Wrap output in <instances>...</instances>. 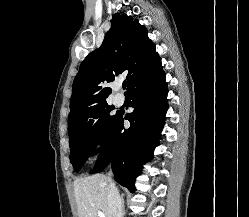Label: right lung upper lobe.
<instances>
[{"instance_id":"obj_1","label":"right lung upper lobe","mask_w":249,"mask_h":217,"mask_svg":"<svg viewBox=\"0 0 249 217\" xmlns=\"http://www.w3.org/2000/svg\"><path fill=\"white\" fill-rule=\"evenodd\" d=\"M157 55L146 28L126 14H114L102 45L81 63L73 82L68 119L101 103L111 94L104 84L126 73L127 89Z\"/></svg>"}]
</instances>
